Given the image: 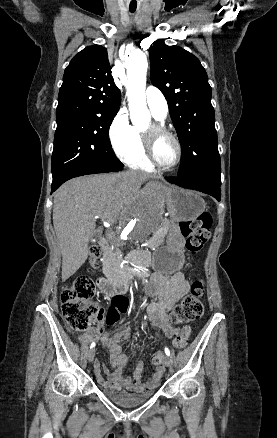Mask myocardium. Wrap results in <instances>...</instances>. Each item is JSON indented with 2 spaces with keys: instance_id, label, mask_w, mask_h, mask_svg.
I'll return each instance as SVG.
<instances>
[{
  "instance_id": "f54148a6",
  "label": "myocardium",
  "mask_w": 277,
  "mask_h": 438,
  "mask_svg": "<svg viewBox=\"0 0 277 438\" xmlns=\"http://www.w3.org/2000/svg\"><path fill=\"white\" fill-rule=\"evenodd\" d=\"M163 136H167V137L171 138L175 142L176 147H177L176 160L170 166H166V165L162 164L157 157V151H156L157 143H158V140ZM142 141H143L148 159L150 160V162L154 166H156L162 170H172L179 165L181 158H182V154H183V148H182L181 141L174 132L167 129L163 124L158 123V122L152 123L150 125V129L147 132L142 133Z\"/></svg>"
}]
</instances>
